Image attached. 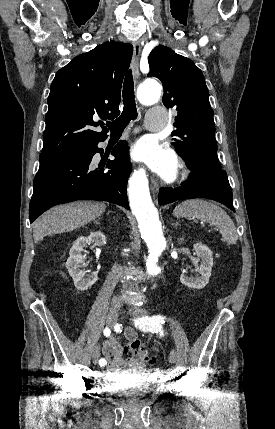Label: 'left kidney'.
I'll use <instances>...</instances> for the list:
<instances>
[{
    "instance_id": "obj_1",
    "label": "left kidney",
    "mask_w": 275,
    "mask_h": 429,
    "mask_svg": "<svg viewBox=\"0 0 275 429\" xmlns=\"http://www.w3.org/2000/svg\"><path fill=\"white\" fill-rule=\"evenodd\" d=\"M179 241L183 242L184 239L180 238ZM194 249L196 251L198 258L201 259V265L198 270V273L200 274V276L193 278V277H188L185 274H181L180 281L182 284H184L189 288L202 289L209 282V278L211 276V271L213 267V257H212L211 250L202 243L194 244Z\"/></svg>"
}]
</instances>
